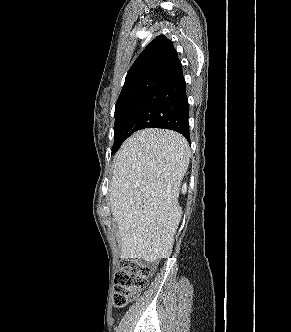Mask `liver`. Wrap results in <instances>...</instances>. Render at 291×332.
I'll use <instances>...</instances> for the list:
<instances>
[{
	"label": "liver",
	"instance_id": "6515ba94",
	"mask_svg": "<svg viewBox=\"0 0 291 332\" xmlns=\"http://www.w3.org/2000/svg\"><path fill=\"white\" fill-rule=\"evenodd\" d=\"M189 160L187 140L170 130L144 129L123 143L110 188L121 258L153 262L171 255L182 216L180 185Z\"/></svg>",
	"mask_w": 291,
	"mask_h": 332
}]
</instances>
